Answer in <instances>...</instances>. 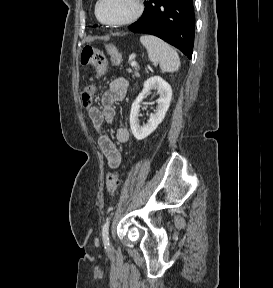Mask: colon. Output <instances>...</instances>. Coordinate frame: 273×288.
I'll list each match as a JSON object with an SVG mask.
<instances>
[{"instance_id":"5ec220e1","label":"colon","mask_w":273,"mask_h":288,"mask_svg":"<svg viewBox=\"0 0 273 288\" xmlns=\"http://www.w3.org/2000/svg\"><path fill=\"white\" fill-rule=\"evenodd\" d=\"M107 52L113 64L118 65L122 61V55L116 46L109 44L106 46ZM80 61L83 65H90L94 68L97 76L104 74L107 67V58L104 52L98 48L85 46L80 55ZM92 87H87L82 92V102L84 106L89 107L92 103ZM120 187V178L117 173H110L106 179V190L110 196H114Z\"/></svg>"}]
</instances>
